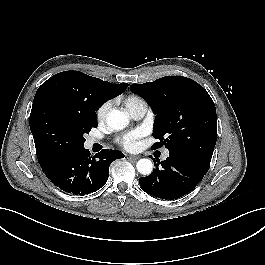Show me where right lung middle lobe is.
I'll list each match as a JSON object with an SVG mask.
<instances>
[{"mask_svg":"<svg viewBox=\"0 0 265 265\" xmlns=\"http://www.w3.org/2000/svg\"><path fill=\"white\" fill-rule=\"evenodd\" d=\"M30 129L37 158L84 147V135L97 127L95 113L85 114L44 100L32 107Z\"/></svg>","mask_w":265,"mask_h":265,"instance_id":"1","label":"right lung middle lobe"}]
</instances>
